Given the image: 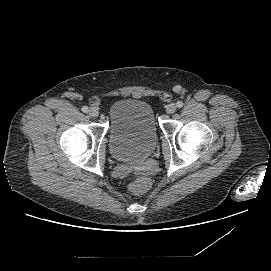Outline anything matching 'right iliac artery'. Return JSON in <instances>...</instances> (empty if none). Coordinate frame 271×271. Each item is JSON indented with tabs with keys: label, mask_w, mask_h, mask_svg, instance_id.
Segmentation results:
<instances>
[{
	"label": "right iliac artery",
	"mask_w": 271,
	"mask_h": 271,
	"mask_svg": "<svg viewBox=\"0 0 271 271\" xmlns=\"http://www.w3.org/2000/svg\"><path fill=\"white\" fill-rule=\"evenodd\" d=\"M82 111H83L84 113H87V112H88V107H87V106H83V107H82Z\"/></svg>",
	"instance_id": "82829eb1"
}]
</instances>
